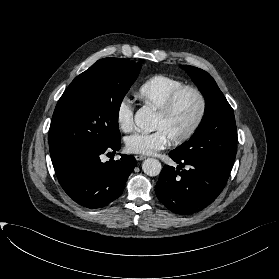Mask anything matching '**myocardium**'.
I'll return each mask as SVG.
<instances>
[{
  "label": "myocardium",
  "mask_w": 279,
  "mask_h": 279,
  "mask_svg": "<svg viewBox=\"0 0 279 279\" xmlns=\"http://www.w3.org/2000/svg\"><path fill=\"white\" fill-rule=\"evenodd\" d=\"M184 92L194 93L199 99L200 108L198 115L190 128L182 135L170 140L173 144H182L192 138L201 127L207 113V100L204 93L197 87L184 85L175 89L169 94L162 107L157 110V115L162 117H166L167 115H169L174 107L177 98Z\"/></svg>",
  "instance_id": "1"
}]
</instances>
